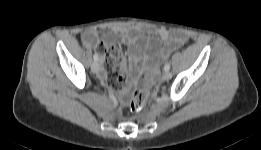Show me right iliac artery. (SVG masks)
<instances>
[{
	"mask_svg": "<svg viewBox=\"0 0 261 150\" xmlns=\"http://www.w3.org/2000/svg\"><path fill=\"white\" fill-rule=\"evenodd\" d=\"M93 58H94L95 61L99 60V56L97 54H94Z\"/></svg>",
	"mask_w": 261,
	"mask_h": 150,
	"instance_id": "right-iliac-artery-1",
	"label": "right iliac artery"
}]
</instances>
